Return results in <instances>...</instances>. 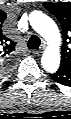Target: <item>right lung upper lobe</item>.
I'll list each match as a JSON object with an SVG mask.
<instances>
[{
    "mask_svg": "<svg viewBox=\"0 0 71 119\" xmlns=\"http://www.w3.org/2000/svg\"><path fill=\"white\" fill-rule=\"evenodd\" d=\"M2 17L3 20L6 18V14L2 13ZM1 41L3 42V46H4V51L6 52V54H10L11 52H13L15 50V45L16 43L9 40L8 38L2 36Z\"/></svg>",
    "mask_w": 71,
    "mask_h": 119,
    "instance_id": "right-lung-upper-lobe-1",
    "label": "right lung upper lobe"
}]
</instances>
